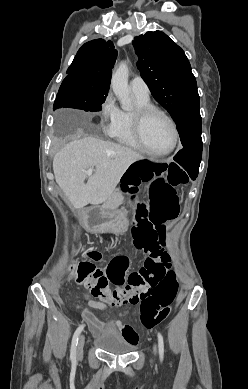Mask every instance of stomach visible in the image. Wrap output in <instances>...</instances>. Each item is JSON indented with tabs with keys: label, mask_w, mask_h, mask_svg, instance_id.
Listing matches in <instances>:
<instances>
[{
	"label": "stomach",
	"mask_w": 248,
	"mask_h": 389,
	"mask_svg": "<svg viewBox=\"0 0 248 389\" xmlns=\"http://www.w3.org/2000/svg\"><path fill=\"white\" fill-rule=\"evenodd\" d=\"M90 213L85 215L91 226H95V231L98 235L115 234L125 235L127 233L124 225L128 224L127 220H123L126 216L124 213L127 209L124 207H91Z\"/></svg>",
	"instance_id": "0dacf381"
}]
</instances>
